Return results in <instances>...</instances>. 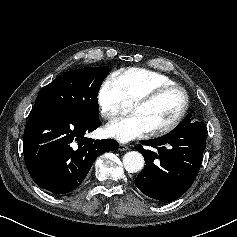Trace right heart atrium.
Listing matches in <instances>:
<instances>
[{
  "label": "right heart atrium",
  "mask_w": 237,
  "mask_h": 237,
  "mask_svg": "<svg viewBox=\"0 0 237 237\" xmlns=\"http://www.w3.org/2000/svg\"><path fill=\"white\" fill-rule=\"evenodd\" d=\"M96 102L101 117L108 121L114 119L127 104L120 87L112 77L101 82Z\"/></svg>",
  "instance_id": "right-heart-atrium-1"
}]
</instances>
